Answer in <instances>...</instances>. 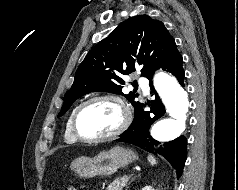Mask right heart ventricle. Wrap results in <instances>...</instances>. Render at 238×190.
Returning a JSON list of instances; mask_svg holds the SVG:
<instances>
[{
  "label": "right heart ventricle",
  "mask_w": 238,
  "mask_h": 190,
  "mask_svg": "<svg viewBox=\"0 0 238 190\" xmlns=\"http://www.w3.org/2000/svg\"><path fill=\"white\" fill-rule=\"evenodd\" d=\"M75 111V110H74ZM74 111L71 113L67 124H66V129H65V134H64V138L67 142H75L77 140V138L74 136L73 131H72V127H71V120H72V115L74 113Z\"/></svg>",
  "instance_id": "obj_1"
}]
</instances>
